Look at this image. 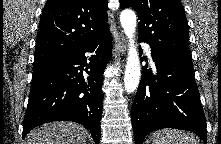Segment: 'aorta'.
Here are the masks:
<instances>
[{
    "mask_svg": "<svg viewBox=\"0 0 221 144\" xmlns=\"http://www.w3.org/2000/svg\"><path fill=\"white\" fill-rule=\"evenodd\" d=\"M120 22L129 42L128 57L124 75V87L127 93H132L137 89L141 75L139 54L134 41L137 24L135 13L129 9L122 11L120 15Z\"/></svg>",
    "mask_w": 221,
    "mask_h": 144,
    "instance_id": "obj_1",
    "label": "aorta"
}]
</instances>
